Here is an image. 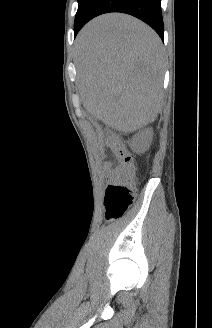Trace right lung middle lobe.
Wrapping results in <instances>:
<instances>
[{
	"instance_id": "obj_1",
	"label": "right lung middle lobe",
	"mask_w": 212,
	"mask_h": 328,
	"mask_svg": "<svg viewBox=\"0 0 212 328\" xmlns=\"http://www.w3.org/2000/svg\"><path fill=\"white\" fill-rule=\"evenodd\" d=\"M95 0H78V10L75 17L74 30L84 21L87 12Z\"/></svg>"
}]
</instances>
